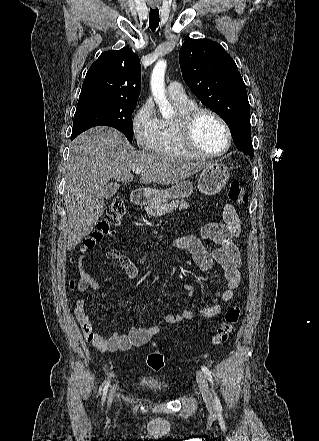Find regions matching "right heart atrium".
Wrapping results in <instances>:
<instances>
[{"instance_id":"obj_1","label":"right heart atrium","mask_w":319,"mask_h":441,"mask_svg":"<svg viewBox=\"0 0 319 441\" xmlns=\"http://www.w3.org/2000/svg\"><path fill=\"white\" fill-rule=\"evenodd\" d=\"M131 128L137 146L143 151L152 150L158 135L159 119L150 101H145L134 113Z\"/></svg>"}]
</instances>
